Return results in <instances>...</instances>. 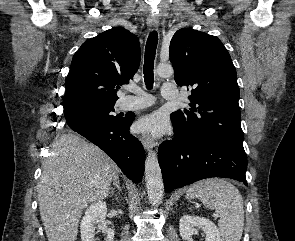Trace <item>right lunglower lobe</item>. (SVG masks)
<instances>
[{
    "label": "right lung lower lobe",
    "instance_id": "obj_1",
    "mask_svg": "<svg viewBox=\"0 0 295 241\" xmlns=\"http://www.w3.org/2000/svg\"><path fill=\"white\" fill-rule=\"evenodd\" d=\"M134 118V115H127L122 122L89 119L68 126L99 146L128 178L137 183L144 173L145 151L139 139L129 132Z\"/></svg>",
    "mask_w": 295,
    "mask_h": 241
}]
</instances>
